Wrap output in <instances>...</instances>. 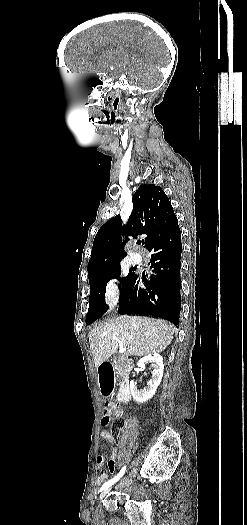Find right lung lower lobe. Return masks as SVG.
<instances>
[{
    "label": "right lung lower lobe",
    "instance_id": "1",
    "mask_svg": "<svg viewBox=\"0 0 247 525\" xmlns=\"http://www.w3.org/2000/svg\"><path fill=\"white\" fill-rule=\"evenodd\" d=\"M146 248L151 253L153 273L149 279L134 276L120 301L119 312L153 316L178 324L182 253L179 226L154 239ZM140 283H144L145 288H140Z\"/></svg>",
    "mask_w": 247,
    "mask_h": 525
}]
</instances>
